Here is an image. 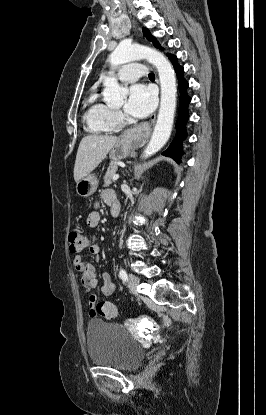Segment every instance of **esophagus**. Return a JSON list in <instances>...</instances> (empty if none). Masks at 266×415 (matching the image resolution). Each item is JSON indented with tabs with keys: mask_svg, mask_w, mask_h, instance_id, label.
Listing matches in <instances>:
<instances>
[{
	"mask_svg": "<svg viewBox=\"0 0 266 415\" xmlns=\"http://www.w3.org/2000/svg\"><path fill=\"white\" fill-rule=\"evenodd\" d=\"M155 119H156V113H154V114L151 116V123H152V124L155 122ZM137 130H138V127L132 128V129H130V130H128V131H126V132L123 134V137H124V138H129V137H131V134H132V133H134V132H136Z\"/></svg>",
	"mask_w": 266,
	"mask_h": 415,
	"instance_id": "obj_1",
	"label": "esophagus"
}]
</instances>
